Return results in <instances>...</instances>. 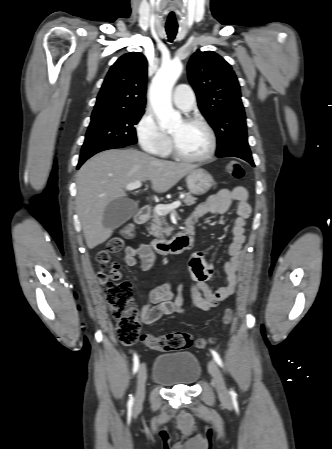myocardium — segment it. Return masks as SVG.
<instances>
[{"label":"myocardium","mask_w":332,"mask_h":449,"mask_svg":"<svg viewBox=\"0 0 332 449\" xmlns=\"http://www.w3.org/2000/svg\"><path fill=\"white\" fill-rule=\"evenodd\" d=\"M185 123L188 124H197L201 126L207 133L208 139H209V147L208 150L203 154L199 156H189L184 153H182L178 147L176 146V143L174 139L171 137V150L175 157H177L180 160L186 161V162H205L210 160L217 148V139L214 130L212 127L202 118L199 117H188L184 120Z\"/></svg>","instance_id":"f54148a6"}]
</instances>
